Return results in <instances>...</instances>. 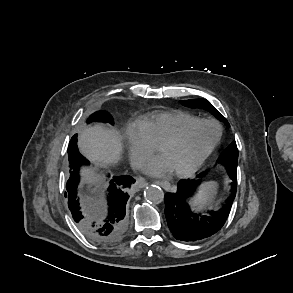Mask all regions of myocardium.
Wrapping results in <instances>:
<instances>
[{
  "label": "myocardium",
  "mask_w": 293,
  "mask_h": 293,
  "mask_svg": "<svg viewBox=\"0 0 293 293\" xmlns=\"http://www.w3.org/2000/svg\"><path fill=\"white\" fill-rule=\"evenodd\" d=\"M198 124H211L214 125L217 128V135L214 139V141L211 143V145L204 151V153L188 168L184 170H178L175 171V175L178 177H189L193 175L195 172H197L201 166L205 163V161L210 157V155L215 151V149L218 147L221 138H222V127L221 125L212 119H197L194 120L185 126H183L175 135L172 137L166 139L162 143L158 145V149L161 150L168 146H173L177 143H179L185 136V134L195 125Z\"/></svg>",
  "instance_id": "f54148a6"
}]
</instances>
